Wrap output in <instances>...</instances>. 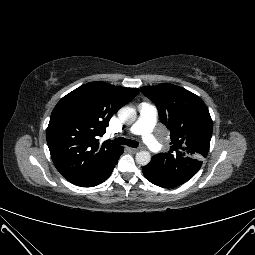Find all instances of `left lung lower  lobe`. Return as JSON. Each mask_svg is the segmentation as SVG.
Listing matches in <instances>:
<instances>
[{
  "label": "left lung lower lobe",
  "instance_id": "left-lung-lower-lobe-1",
  "mask_svg": "<svg viewBox=\"0 0 255 255\" xmlns=\"http://www.w3.org/2000/svg\"><path fill=\"white\" fill-rule=\"evenodd\" d=\"M142 172L148 181L159 187L173 188L184 183L183 181L175 180L166 176L165 174L158 172L149 165L143 167Z\"/></svg>",
  "mask_w": 255,
  "mask_h": 255
}]
</instances>
